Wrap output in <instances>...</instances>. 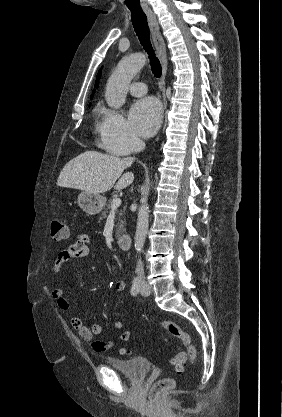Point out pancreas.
I'll return each mask as SVG.
<instances>
[{
    "label": "pancreas",
    "instance_id": "pancreas-1",
    "mask_svg": "<svg viewBox=\"0 0 282 417\" xmlns=\"http://www.w3.org/2000/svg\"><path fill=\"white\" fill-rule=\"evenodd\" d=\"M111 204H112V198H111V200H109V204H107V209H104V211H102L100 221H102V219H106L107 213H109V211L111 209ZM116 213L118 215V217L116 219V221H118V223H117V229H116L115 237H116V239H118V237H120V235H122V233H125L124 225H125L126 221H124V219H123L124 211H118V209H117Z\"/></svg>",
    "mask_w": 282,
    "mask_h": 417
}]
</instances>
